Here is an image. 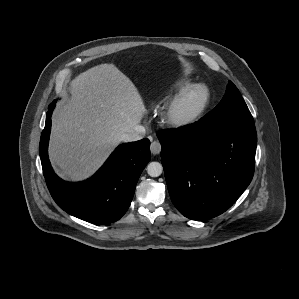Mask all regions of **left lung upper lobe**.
<instances>
[{
    "label": "left lung upper lobe",
    "instance_id": "obj_1",
    "mask_svg": "<svg viewBox=\"0 0 299 299\" xmlns=\"http://www.w3.org/2000/svg\"><path fill=\"white\" fill-rule=\"evenodd\" d=\"M212 127H233L254 125L253 117L237 87L229 81L220 103L199 120Z\"/></svg>",
    "mask_w": 299,
    "mask_h": 299
}]
</instances>
